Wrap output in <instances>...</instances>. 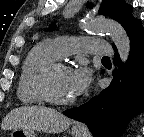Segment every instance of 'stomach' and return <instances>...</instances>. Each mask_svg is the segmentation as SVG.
I'll list each match as a JSON object with an SVG mask.
<instances>
[{"mask_svg":"<svg viewBox=\"0 0 144 137\" xmlns=\"http://www.w3.org/2000/svg\"><path fill=\"white\" fill-rule=\"evenodd\" d=\"M73 137H82V131L77 128H72ZM11 137H36L34 130H24L21 128H15L11 132Z\"/></svg>","mask_w":144,"mask_h":137,"instance_id":"1","label":"stomach"}]
</instances>
